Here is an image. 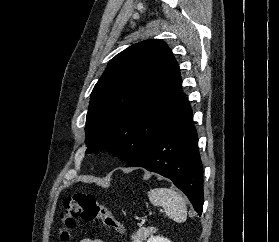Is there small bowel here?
Listing matches in <instances>:
<instances>
[{"instance_id": "c3829d8e", "label": "small bowel", "mask_w": 279, "mask_h": 242, "mask_svg": "<svg viewBox=\"0 0 279 242\" xmlns=\"http://www.w3.org/2000/svg\"><path fill=\"white\" fill-rule=\"evenodd\" d=\"M80 242H105L101 239H90V238H85V239H82Z\"/></svg>"}]
</instances>
